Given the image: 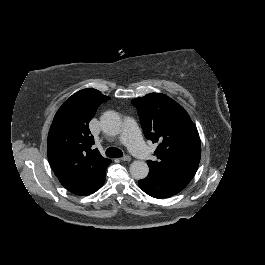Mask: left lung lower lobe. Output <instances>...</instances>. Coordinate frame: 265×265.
<instances>
[{"mask_svg":"<svg viewBox=\"0 0 265 265\" xmlns=\"http://www.w3.org/2000/svg\"><path fill=\"white\" fill-rule=\"evenodd\" d=\"M191 179L164 177L150 172L146 178L138 181L139 187L154 198H169L182 191Z\"/></svg>","mask_w":265,"mask_h":265,"instance_id":"0a47b994","label":"left lung lower lobe"}]
</instances>
